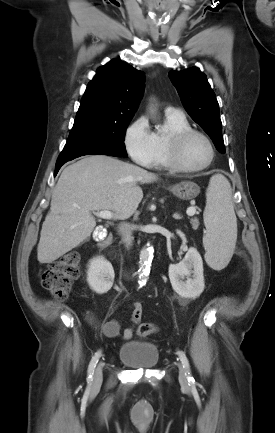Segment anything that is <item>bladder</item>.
<instances>
[{
    "label": "bladder",
    "mask_w": 275,
    "mask_h": 433,
    "mask_svg": "<svg viewBox=\"0 0 275 433\" xmlns=\"http://www.w3.org/2000/svg\"><path fill=\"white\" fill-rule=\"evenodd\" d=\"M118 359L131 367L151 368L158 363L159 350L152 343L129 340L119 348Z\"/></svg>",
    "instance_id": "1"
}]
</instances>
